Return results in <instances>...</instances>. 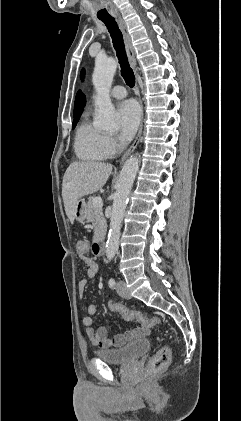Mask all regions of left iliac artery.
<instances>
[{"mask_svg":"<svg viewBox=\"0 0 241 421\" xmlns=\"http://www.w3.org/2000/svg\"><path fill=\"white\" fill-rule=\"evenodd\" d=\"M108 284H109V287L114 288L116 283H115V280L113 278H110L109 281H108Z\"/></svg>","mask_w":241,"mask_h":421,"instance_id":"44dca946","label":"left iliac artery"}]
</instances>
